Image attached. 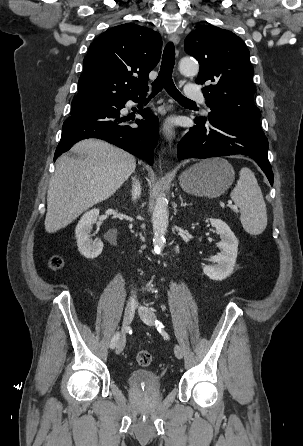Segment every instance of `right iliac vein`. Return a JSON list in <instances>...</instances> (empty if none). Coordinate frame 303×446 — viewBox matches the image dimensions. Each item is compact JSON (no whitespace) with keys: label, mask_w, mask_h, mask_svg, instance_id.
I'll use <instances>...</instances> for the list:
<instances>
[{"label":"right iliac vein","mask_w":303,"mask_h":446,"mask_svg":"<svg viewBox=\"0 0 303 446\" xmlns=\"http://www.w3.org/2000/svg\"><path fill=\"white\" fill-rule=\"evenodd\" d=\"M135 310H136V305L133 303H128L125 307L124 317H123V330H122V335L116 345V354H120L125 347L126 344L125 331L134 318Z\"/></svg>","instance_id":"right-iliac-vein-1"}]
</instances>
